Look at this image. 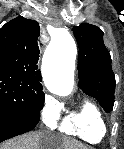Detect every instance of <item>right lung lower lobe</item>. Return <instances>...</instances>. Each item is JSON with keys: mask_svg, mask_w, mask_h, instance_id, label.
Returning <instances> with one entry per match:
<instances>
[{"mask_svg": "<svg viewBox=\"0 0 124 149\" xmlns=\"http://www.w3.org/2000/svg\"><path fill=\"white\" fill-rule=\"evenodd\" d=\"M40 115H0V143L32 130L39 122Z\"/></svg>", "mask_w": 124, "mask_h": 149, "instance_id": "1", "label": "right lung lower lobe"}]
</instances>
